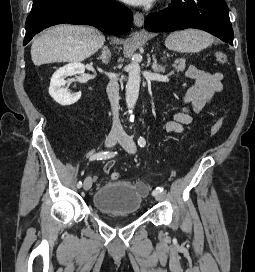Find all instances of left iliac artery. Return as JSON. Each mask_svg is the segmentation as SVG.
<instances>
[{
  "label": "left iliac artery",
  "instance_id": "obj_1",
  "mask_svg": "<svg viewBox=\"0 0 255 272\" xmlns=\"http://www.w3.org/2000/svg\"><path fill=\"white\" fill-rule=\"evenodd\" d=\"M138 145H139L140 147H144V146L146 145V140H145L144 137L140 136V137L138 138ZM163 190H164L163 187H157V188L153 191L152 194H153V196H155L156 193L162 192Z\"/></svg>",
  "mask_w": 255,
  "mask_h": 272
}]
</instances>
